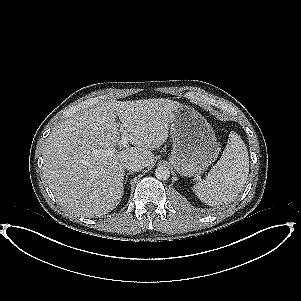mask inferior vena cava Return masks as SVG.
<instances>
[{"label":"inferior vena cava","mask_w":301,"mask_h":301,"mask_svg":"<svg viewBox=\"0 0 301 301\" xmlns=\"http://www.w3.org/2000/svg\"><path fill=\"white\" fill-rule=\"evenodd\" d=\"M144 164L137 161H130L125 164V168L129 171L138 172L144 168Z\"/></svg>","instance_id":"inferior-vena-cava-1"}]
</instances>
